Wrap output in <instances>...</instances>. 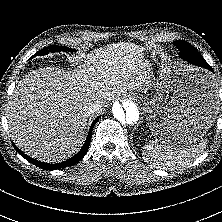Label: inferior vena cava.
<instances>
[{"instance_id": "602c4592", "label": "inferior vena cava", "mask_w": 222, "mask_h": 222, "mask_svg": "<svg viewBox=\"0 0 222 222\" xmlns=\"http://www.w3.org/2000/svg\"><path fill=\"white\" fill-rule=\"evenodd\" d=\"M101 107H102V103L97 100V101L89 103V105L87 106V111L89 114H93L94 112L99 110Z\"/></svg>"}]
</instances>
